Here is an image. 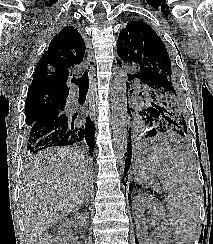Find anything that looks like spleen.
<instances>
[{
  "label": "spleen",
  "mask_w": 213,
  "mask_h": 244,
  "mask_svg": "<svg viewBox=\"0 0 213 244\" xmlns=\"http://www.w3.org/2000/svg\"><path fill=\"white\" fill-rule=\"evenodd\" d=\"M154 162L164 188L168 191L167 206L170 226L182 242L190 244L196 234L201 205V187L188 163L177 153L157 150L148 156Z\"/></svg>",
  "instance_id": "1"
}]
</instances>
